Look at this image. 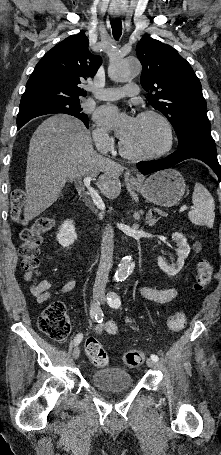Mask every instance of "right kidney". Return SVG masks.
Returning a JSON list of instances; mask_svg holds the SVG:
<instances>
[{
    "label": "right kidney",
    "mask_w": 221,
    "mask_h": 455,
    "mask_svg": "<svg viewBox=\"0 0 221 455\" xmlns=\"http://www.w3.org/2000/svg\"><path fill=\"white\" fill-rule=\"evenodd\" d=\"M77 239L75 226L72 220H66L62 224L57 234V241L63 247H70Z\"/></svg>",
    "instance_id": "right-kidney-1"
}]
</instances>
